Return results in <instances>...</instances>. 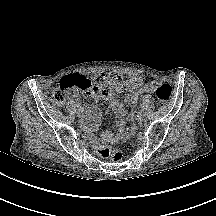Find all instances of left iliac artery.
Here are the masks:
<instances>
[{"label":"left iliac artery","mask_w":216,"mask_h":216,"mask_svg":"<svg viewBox=\"0 0 216 216\" xmlns=\"http://www.w3.org/2000/svg\"><path fill=\"white\" fill-rule=\"evenodd\" d=\"M142 114V109H136V116L140 117Z\"/></svg>","instance_id":"44dca946"}]
</instances>
